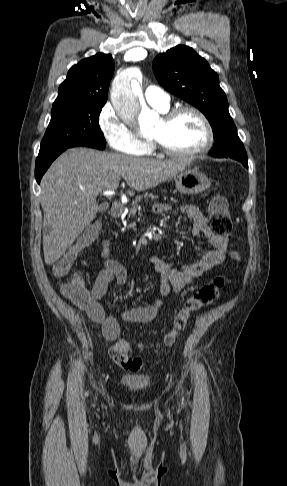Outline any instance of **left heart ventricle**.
I'll return each mask as SVG.
<instances>
[{"label":"left heart ventricle","mask_w":287,"mask_h":486,"mask_svg":"<svg viewBox=\"0 0 287 486\" xmlns=\"http://www.w3.org/2000/svg\"><path fill=\"white\" fill-rule=\"evenodd\" d=\"M151 138L161 139L174 150L189 151L203 145L205 129L196 115L184 113L169 125H165L160 119L151 133Z\"/></svg>","instance_id":"1"}]
</instances>
